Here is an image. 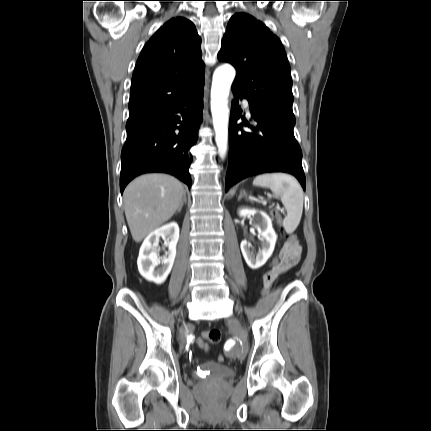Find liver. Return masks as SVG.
I'll list each match as a JSON object with an SVG mask.
<instances>
[{
	"label": "liver",
	"instance_id": "obj_1",
	"mask_svg": "<svg viewBox=\"0 0 431 431\" xmlns=\"http://www.w3.org/2000/svg\"><path fill=\"white\" fill-rule=\"evenodd\" d=\"M184 188L166 174H145L134 179L124 190L127 223L135 242L168 221L178 210Z\"/></svg>",
	"mask_w": 431,
	"mask_h": 431
}]
</instances>
